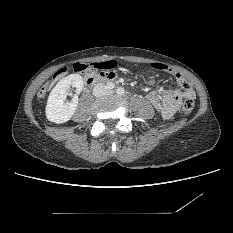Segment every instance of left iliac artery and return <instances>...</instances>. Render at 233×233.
Wrapping results in <instances>:
<instances>
[{"instance_id": "44dca946", "label": "left iliac artery", "mask_w": 233, "mask_h": 233, "mask_svg": "<svg viewBox=\"0 0 233 233\" xmlns=\"http://www.w3.org/2000/svg\"><path fill=\"white\" fill-rule=\"evenodd\" d=\"M116 92L120 96H123L125 94L124 88H122V87H118Z\"/></svg>"}]
</instances>
